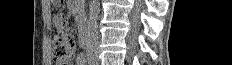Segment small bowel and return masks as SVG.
I'll return each mask as SVG.
<instances>
[{"label":"small bowel","mask_w":232,"mask_h":65,"mask_svg":"<svg viewBox=\"0 0 232 65\" xmlns=\"http://www.w3.org/2000/svg\"><path fill=\"white\" fill-rule=\"evenodd\" d=\"M54 17L56 21V28L60 32V37H73V32H64L69 31V26H67L66 16H63V12H54ZM84 57L79 56L76 60V65H83ZM67 65H72L71 62H68Z\"/></svg>","instance_id":"obj_1"}]
</instances>
